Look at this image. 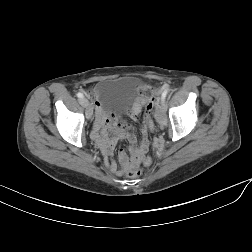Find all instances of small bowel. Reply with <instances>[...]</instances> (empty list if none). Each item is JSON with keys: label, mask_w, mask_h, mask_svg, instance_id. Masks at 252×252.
Listing matches in <instances>:
<instances>
[{"label": "small bowel", "mask_w": 252, "mask_h": 252, "mask_svg": "<svg viewBox=\"0 0 252 252\" xmlns=\"http://www.w3.org/2000/svg\"><path fill=\"white\" fill-rule=\"evenodd\" d=\"M150 99L142 96L135 100L129 110V115L134 121H138L140 113L149 103ZM96 121L93 126L91 136L93 140L101 147L106 158L107 167L113 173L122 175L128 168L143 162L149 165L151 160L147 158L146 152L149 147L148 134L153 130L152 125L141 126V139L137 140L133 127L120 118L115 112H106L100 103H95ZM119 140H126L129 144V154L120 150L118 152L117 164L111 159L112 150Z\"/></svg>", "instance_id": "c3829d8e"}]
</instances>
